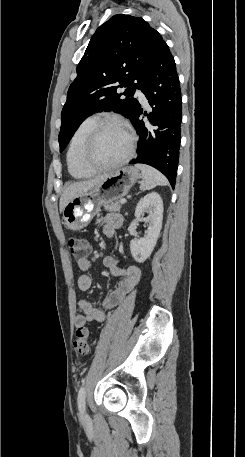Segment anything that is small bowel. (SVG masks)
<instances>
[{"mask_svg":"<svg viewBox=\"0 0 245 457\" xmlns=\"http://www.w3.org/2000/svg\"><path fill=\"white\" fill-rule=\"evenodd\" d=\"M99 223L102 227L103 234L106 237L111 238L115 231L121 227L123 217L117 213H109L103 216L99 220ZM103 263L113 276L121 277L122 280L117 288L109 294L102 305H94L86 300H80L78 302L81 312L78 313L74 319V324L77 328L85 327L88 322H104L107 316V310L120 304L126 295L130 293L140 281L141 270L137 266L123 268L119 265L118 260L112 255L105 256ZM77 264L79 270L82 272L77 280L78 288L81 291H88L93 284L92 277L88 274L91 266L90 261L86 258L79 260Z\"/></svg>","mask_w":245,"mask_h":457,"instance_id":"1","label":"small bowel"}]
</instances>
